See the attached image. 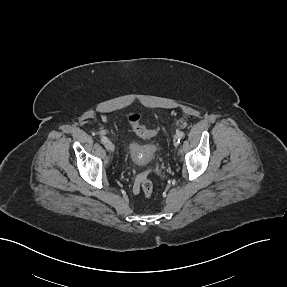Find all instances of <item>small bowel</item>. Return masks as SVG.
<instances>
[{
    "label": "small bowel",
    "instance_id": "1",
    "mask_svg": "<svg viewBox=\"0 0 287 287\" xmlns=\"http://www.w3.org/2000/svg\"><path fill=\"white\" fill-rule=\"evenodd\" d=\"M135 191L137 192V191H138V189H137V188H135Z\"/></svg>",
    "mask_w": 287,
    "mask_h": 287
}]
</instances>
